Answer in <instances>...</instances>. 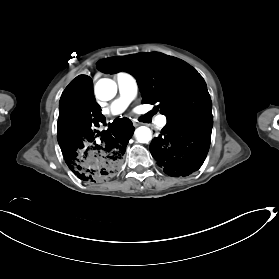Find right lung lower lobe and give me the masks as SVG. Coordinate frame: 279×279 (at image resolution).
Listing matches in <instances>:
<instances>
[{
  "label": "right lung lower lobe",
  "mask_w": 279,
  "mask_h": 279,
  "mask_svg": "<svg viewBox=\"0 0 279 279\" xmlns=\"http://www.w3.org/2000/svg\"><path fill=\"white\" fill-rule=\"evenodd\" d=\"M57 124L58 142L69 169L88 183L104 182L116 176L134 127L128 118L116 119L108 129L95 102L92 79L76 77L62 93Z\"/></svg>",
  "instance_id": "1"
}]
</instances>
